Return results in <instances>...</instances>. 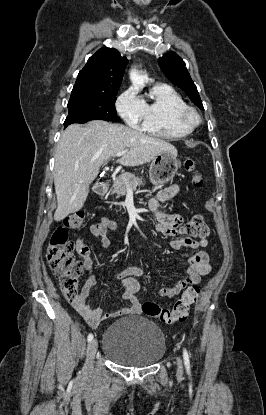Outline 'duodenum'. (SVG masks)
I'll return each mask as SVG.
<instances>
[{
    "instance_id": "410a0bca",
    "label": "duodenum",
    "mask_w": 266,
    "mask_h": 415,
    "mask_svg": "<svg viewBox=\"0 0 266 415\" xmlns=\"http://www.w3.org/2000/svg\"><path fill=\"white\" fill-rule=\"evenodd\" d=\"M107 190V183L106 182H97L94 187L93 191L97 195H103Z\"/></svg>"
}]
</instances>
